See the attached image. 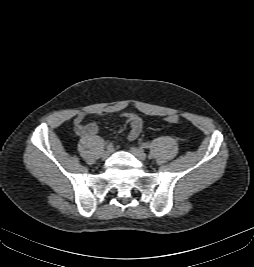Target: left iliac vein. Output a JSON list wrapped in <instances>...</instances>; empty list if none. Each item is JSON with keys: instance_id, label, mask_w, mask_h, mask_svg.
I'll list each match as a JSON object with an SVG mask.
<instances>
[{"instance_id": "left-iliac-vein-1", "label": "left iliac vein", "mask_w": 254, "mask_h": 267, "mask_svg": "<svg viewBox=\"0 0 254 267\" xmlns=\"http://www.w3.org/2000/svg\"><path fill=\"white\" fill-rule=\"evenodd\" d=\"M130 151L136 158H138L141 161H145L147 159L146 153L139 148L131 147Z\"/></svg>"}]
</instances>
